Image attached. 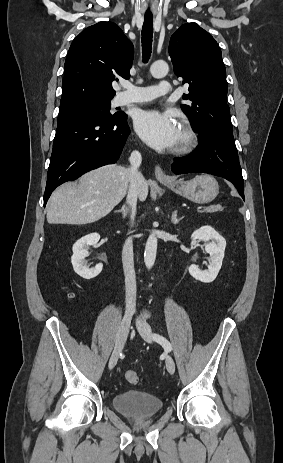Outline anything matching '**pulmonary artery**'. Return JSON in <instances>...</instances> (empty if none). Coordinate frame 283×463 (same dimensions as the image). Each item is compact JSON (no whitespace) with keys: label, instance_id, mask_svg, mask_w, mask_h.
<instances>
[{"label":"pulmonary artery","instance_id":"e3ab8cb5","mask_svg":"<svg viewBox=\"0 0 283 463\" xmlns=\"http://www.w3.org/2000/svg\"><path fill=\"white\" fill-rule=\"evenodd\" d=\"M123 87L126 90L115 98V104L118 106L147 102L172 92V86L168 81H161L158 85L148 87H138L132 84H126Z\"/></svg>","mask_w":283,"mask_h":463}]
</instances>
